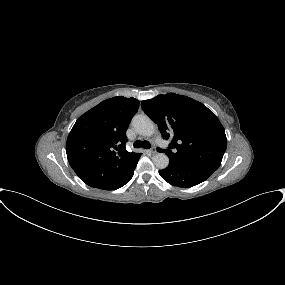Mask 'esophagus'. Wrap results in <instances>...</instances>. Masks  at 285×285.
Masks as SVG:
<instances>
[{
	"mask_svg": "<svg viewBox=\"0 0 285 285\" xmlns=\"http://www.w3.org/2000/svg\"><path fill=\"white\" fill-rule=\"evenodd\" d=\"M149 152L154 155L157 151L155 147H152L151 149H149Z\"/></svg>",
	"mask_w": 285,
	"mask_h": 285,
	"instance_id": "obj_1",
	"label": "esophagus"
}]
</instances>
